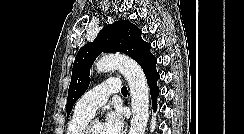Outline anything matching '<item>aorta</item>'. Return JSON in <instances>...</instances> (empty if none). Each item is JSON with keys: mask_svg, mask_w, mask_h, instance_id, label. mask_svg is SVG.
I'll return each instance as SVG.
<instances>
[{"mask_svg": "<svg viewBox=\"0 0 244 134\" xmlns=\"http://www.w3.org/2000/svg\"><path fill=\"white\" fill-rule=\"evenodd\" d=\"M97 72L118 69L126 78L131 95L132 119L129 134H145L149 119V88L142 68L123 55H106L99 59Z\"/></svg>", "mask_w": 244, "mask_h": 134, "instance_id": "aorta-1", "label": "aorta"}]
</instances>
